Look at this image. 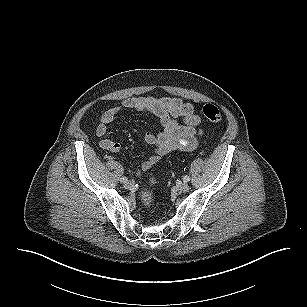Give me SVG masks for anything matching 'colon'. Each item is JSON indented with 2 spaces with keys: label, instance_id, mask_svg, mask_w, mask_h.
<instances>
[{
  "label": "colon",
  "instance_id": "obj_1",
  "mask_svg": "<svg viewBox=\"0 0 307 307\" xmlns=\"http://www.w3.org/2000/svg\"><path fill=\"white\" fill-rule=\"evenodd\" d=\"M202 111H203L204 116L211 123H218L222 119V115H221L219 108L215 106L214 104L208 103L204 105ZM140 200L145 207H150L154 204L155 196L151 191L146 190L141 194Z\"/></svg>",
  "mask_w": 307,
  "mask_h": 307
}]
</instances>
